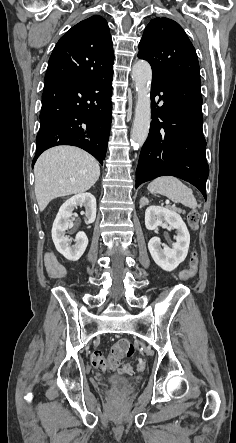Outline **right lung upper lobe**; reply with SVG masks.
Instances as JSON below:
<instances>
[{"instance_id":"right-lung-upper-lobe-1","label":"right lung upper lobe","mask_w":236,"mask_h":443,"mask_svg":"<svg viewBox=\"0 0 236 443\" xmlns=\"http://www.w3.org/2000/svg\"><path fill=\"white\" fill-rule=\"evenodd\" d=\"M114 54L108 24L94 15L73 26L50 56L45 82L93 78L113 70Z\"/></svg>"}]
</instances>
